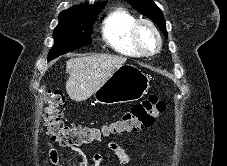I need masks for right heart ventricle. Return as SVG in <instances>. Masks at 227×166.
<instances>
[{
	"label": "right heart ventricle",
	"mask_w": 227,
	"mask_h": 166,
	"mask_svg": "<svg viewBox=\"0 0 227 166\" xmlns=\"http://www.w3.org/2000/svg\"><path fill=\"white\" fill-rule=\"evenodd\" d=\"M137 20V17L126 9H114L102 22L103 40L115 52L128 56H141L131 40V28Z\"/></svg>",
	"instance_id": "e07e8e85"
}]
</instances>
